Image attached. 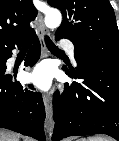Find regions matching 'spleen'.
<instances>
[{
	"instance_id": "3e777b00",
	"label": "spleen",
	"mask_w": 119,
	"mask_h": 141,
	"mask_svg": "<svg viewBox=\"0 0 119 141\" xmlns=\"http://www.w3.org/2000/svg\"><path fill=\"white\" fill-rule=\"evenodd\" d=\"M79 141H108V139L100 136L88 137L87 139H80Z\"/></svg>"
}]
</instances>
